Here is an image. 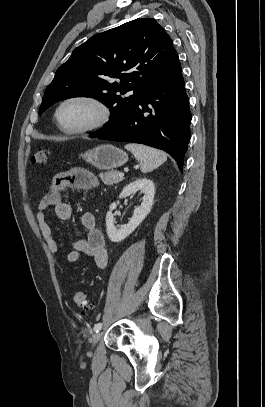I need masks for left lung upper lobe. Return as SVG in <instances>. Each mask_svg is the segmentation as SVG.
I'll list each match as a JSON object with an SVG mask.
<instances>
[{
  "label": "left lung upper lobe",
  "mask_w": 265,
  "mask_h": 407,
  "mask_svg": "<svg viewBox=\"0 0 265 407\" xmlns=\"http://www.w3.org/2000/svg\"><path fill=\"white\" fill-rule=\"evenodd\" d=\"M180 66L163 27L152 18L135 19L75 48L47 87L39 114L63 99L93 97L111 110L110 120L94 135L104 134L130 115L152 84Z\"/></svg>",
  "instance_id": "left-lung-upper-lobe-1"
}]
</instances>
